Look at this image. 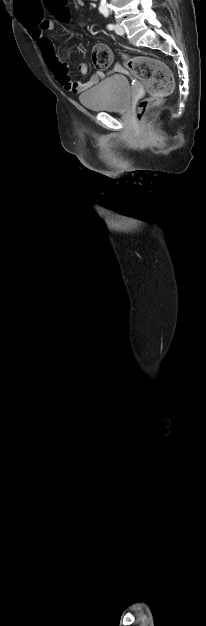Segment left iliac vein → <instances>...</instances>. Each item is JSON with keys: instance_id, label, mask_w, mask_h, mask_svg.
<instances>
[{"instance_id": "left-iliac-vein-1", "label": "left iliac vein", "mask_w": 206, "mask_h": 626, "mask_svg": "<svg viewBox=\"0 0 206 626\" xmlns=\"http://www.w3.org/2000/svg\"><path fill=\"white\" fill-rule=\"evenodd\" d=\"M115 32L118 35H123L125 33V30H124V28L120 24H116L115 25Z\"/></svg>"}]
</instances>
